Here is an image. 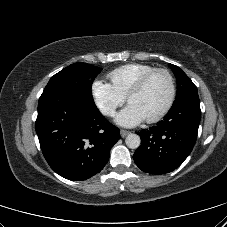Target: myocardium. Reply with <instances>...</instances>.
I'll use <instances>...</instances> for the list:
<instances>
[{"label":"myocardium","mask_w":227,"mask_h":227,"mask_svg":"<svg viewBox=\"0 0 227 227\" xmlns=\"http://www.w3.org/2000/svg\"><path fill=\"white\" fill-rule=\"evenodd\" d=\"M156 73H164L168 80H169V85H170V94H169V98L167 103L165 104V106L155 115H153L150 118L145 119V121L147 123H155L159 120H161L172 108L175 99H176V94H177V87H176V81L175 78L172 74V72L167 69V68H154L150 71H148L147 73H145L144 75H142L133 85L132 87L129 89L127 95H126V99L129 102V99L132 95H134L135 93L139 92L140 90L143 89V87L146 85V83L149 81V79L155 75Z\"/></svg>","instance_id":"myocardium-1"}]
</instances>
